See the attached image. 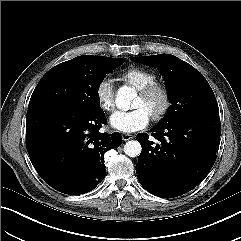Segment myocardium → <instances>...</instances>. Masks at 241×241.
<instances>
[{
	"instance_id": "myocardium-1",
	"label": "myocardium",
	"mask_w": 241,
	"mask_h": 241,
	"mask_svg": "<svg viewBox=\"0 0 241 241\" xmlns=\"http://www.w3.org/2000/svg\"><path fill=\"white\" fill-rule=\"evenodd\" d=\"M138 94L143 99H148L153 97L154 95H159L162 100L161 106L150 116L154 121H160L166 116L172 104L171 93L166 85L154 82L139 89Z\"/></svg>"
}]
</instances>
